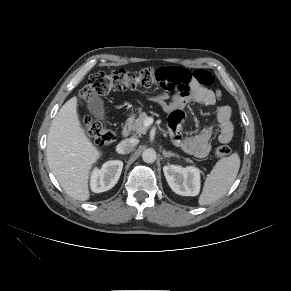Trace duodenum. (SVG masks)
<instances>
[{"label": "duodenum", "instance_id": "1", "mask_svg": "<svg viewBox=\"0 0 291 291\" xmlns=\"http://www.w3.org/2000/svg\"><path fill=\"white\" fill-rule=\"evenodd\" d=\"M131 123H132L131 118L127 119L126 122L124 123L121 131L123 137H128L130 135Z\"/></svg>", "mask_w": 291, "mask_h": 291}]
</instances>
